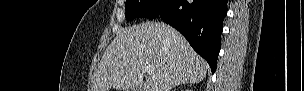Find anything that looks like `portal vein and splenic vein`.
I'll list each match as a JSON object with an SVG mask.
<instances>
[{
	"label": "portal vein and splenic vein",
	"mask_w": 304,
	"mask_h": 91,
	"mask_svg": "<svg viewBox=\"0 0 304 91\" xmlns=\"http://www.w3.org/2000/svg\"><path fill=\"white\" fill-rule=\"evenodd\" d=\"M145 72L150 75L152 74L153 69L150 66H145Z\"/></svg>",
	"instance_id": "1"
}]
</instances>
